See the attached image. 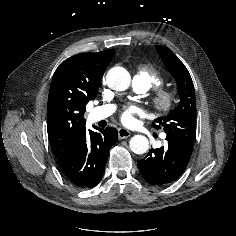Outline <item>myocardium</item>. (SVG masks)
<instances>
[{
  "label": "myocardium",
  "instance_id": "obj_1",
  "mask_svg": "<svg viewBox=\"0 0 236 236\" xmlns=\"http://www.w3.org/2000/svg\"><path fill=\"white\" fill-rule=\"evenodd\" d=\"M176 101V93L168 88H158L151 97V107L159 113L168 112Z\"/></svg>",
  "mask_w": 236,
  "mask_h": 236
}]
</instances>
